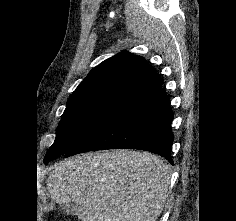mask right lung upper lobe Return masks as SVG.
<instances>
[{
    "label": "right lung upper lobe",
    "mask_w": 236,
    "mask_h": 221,
    "mask_svg": "<svg viewBox=\"0 0 236 221\" xmlns=\"http://www.w3.org/2000/svg\"><path fill=\"white\" fill-rule=\"evenodd\" d=\"M160 79L143 57L125 51L92 69L68 101L96 92L128 91L136 94Z\"/></svg>",
    "instance_id": "1"
}]
</instances>
